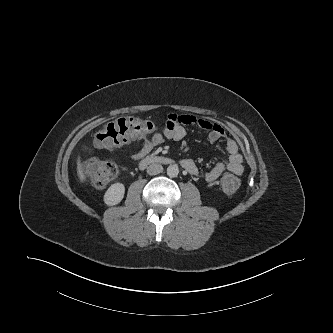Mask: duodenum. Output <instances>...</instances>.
<instances>
[{
	"label": "duodenum",
	"mask_w": 333,
	"mask_h": 333,
	"mask_svg": "<svg viewBox=\"0 0 333 333\" xmlns=\"http://www.w3.org/2000/svg\"><path fill=\"white\" fill-rule=\"evenodd\" d=\"M168 163H170V159L163 156L152 155L144 158L140 162V167L145 168L146 166L151 164H168Z\"/></svg>",
	"instance_id": "obj_1"
}]
</instances>
